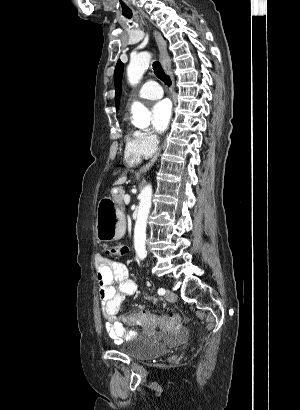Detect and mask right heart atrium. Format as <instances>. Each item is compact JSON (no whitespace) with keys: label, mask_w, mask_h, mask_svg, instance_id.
I'll return each mask as SVG.
<instances>
[{"label":"right heart atrium","mask_w":300,"mask_h":410,"mask_svg":"<svg viewBox=\"0 0 300 410\" xmlns=\"http://www.w3.org/2000/svg\"><path fill=\"white\" fill-rule=\"evenodd\" d=\"M135 139L138 150L145 156L152 155L158 147V139L156 135L146 131H136Z\"/></svg>","instance_id":"obj_1"}]
</instances>
